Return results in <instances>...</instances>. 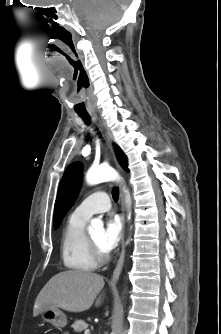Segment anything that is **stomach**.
Listing matches in <instances>:
<instances>
[{"instance_id":"0dacf381","label":"stomach","mask_w":221,"mask_h":334,"mask_svg":"<svg viewBox=\"0 0 221 334\" xmlns=\"http://www.w3.org/2000/svg\"><path fill=\"white\" fill-rule=\"evenodd\" d=\"M43 321L51 323L55 327H65L67 325V317L63 311L58 308L46 309L41 312Z\"/></svg>"}]
</instances>
